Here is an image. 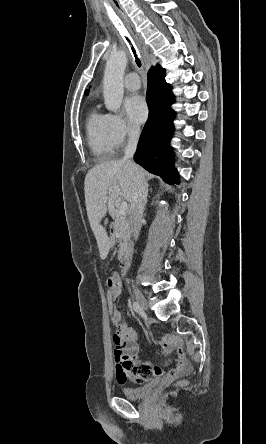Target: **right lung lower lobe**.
I'll use <instances>...</instances> for the list:
<instances>
[{
	"label": "right lung lower lobe",
	"instance_id": "98d812e1",
	"mask_svg": "<svg viewBox=\"0 0 266 444\" xmlns=\"http://www.w3.org/2000/svg\"><path fill=\"white\" fill-rule=\"evenodd\" d=\"M147 100L149 117L142 130L134 160L166 182L178 184V173L172 165L173 152L169 145L174 131L175 112L170 107L174 95L170 84L165 81V70L159 65L152 67L148 73Z\"/></svg>",
	"mask_w": 266,
	"mask_h": 444
}]
</instances>
